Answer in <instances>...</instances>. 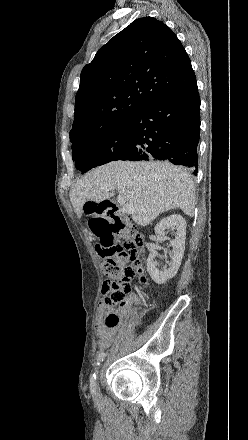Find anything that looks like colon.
Listing matches in <instances>:
<instances>
[{"mask_svg":"<svg viewBox=\"0 0 248 440\" xmlns=\"http://www.w3.org/2000/svg\"><path fill=\"white\" fill-rule=\"evenodd\" d=\"M104 218H111L112 226L120 233L121 243L101 241L96 252L103 259L102 270L109 277L102 285L101 306L112 309L127 304V295L131 290V282L139 276L145 279V260L143 257L142 237L129 221L120 216L116 209L104 207ZM120 317L109 312L105 317L108 327L119 324Z\"/></svg>","mask_w":248,"mask_h":440,"instance_id":"1","label":"colon"}]
</instances>
